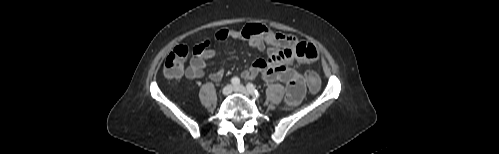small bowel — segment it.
Wrapping results in <instances>:
<instances>
[{
  "label": "small bowel",
  "mask_w": 499,
  "mask_h": 154,
  "mask_svg": "<svg viewBox=\"0 0 499 154\" xmlns=\"http://www.w3.org/2000/svg\"><path fill=\"white\" fill-rule=\"evenodd\" d=\"M227 39L267 52L266 59H258L251 67L242 71L243 78L251 79L259 76L267 82H283L286 84V103L295 107L301 102L306 88L304 78L289 65L317 61L318 52L313 44L299 41L294 35L274 33L259 23L247 24L240 29H223L214 36V42H223ZM215 54L211 40L196 45L185 71L186 77L193 80L207 75L210 80L219 82L224 74L223 69L206 72L207 63L215 57Z\"/></svg>",
  "instance_id": "obj_1"
}]
</instances>
